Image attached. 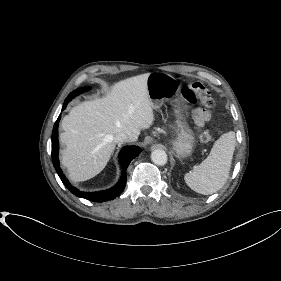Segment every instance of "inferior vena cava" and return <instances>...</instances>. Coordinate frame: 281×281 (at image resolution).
Masks as SVG:
<instances>
[{"label": "inferior vena cava", "instance_id": "obj_1", "mask_svg": "<svg viewBox=\"0 0 281 281\" xmlns=\"http://www.w3.org/2000/svg\"><path fill=\"white\" fill-rule=\"evenodd\" d=\"M114 141L116 143H123V142H128L130 141V138L127 134L123 133V132H120L118 134L115 135L114 137Z\"/></svg>", "mask_w": 281, "mask_h": 281}]
</instances>
